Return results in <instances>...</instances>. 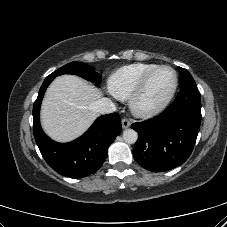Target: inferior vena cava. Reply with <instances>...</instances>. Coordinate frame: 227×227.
<instances>
[{"label":"inferior vena cava","mask_w":227,"mask_h":227,"mask_svg":"<svg viewBox=\"0 0 227 227\" xmlns=\"http://www.w3.org/2000/svg\"><path fill=\"white\" fill-rule=\"evenodd\" d=\"M95 110L102 114H109L115 111V105L107 98H101L95 102Z\"/></svg>","instance_id":"obj_1"}]
</instances>
